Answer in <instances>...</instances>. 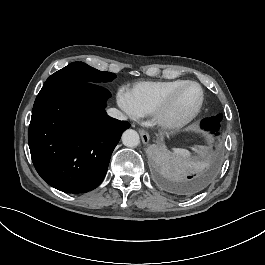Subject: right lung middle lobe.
Returning <instances> with one entry per match:
<instances>
[{"mask_svg":"<svg viewBox=\"0 0 265 265\" xmlns=\"http://www.w3.org/2000/svg\"><path fill=\"white\" fill-rule=\"evenodd\" d=\"M114 73L102 72L83 62H74L52 74L43 87L78 83H104L115 78Z\"/></svg>","mask_w":265,"mask_h":265,"instance_id":"1","label":"right lung middle lobe"}]
</instances>
